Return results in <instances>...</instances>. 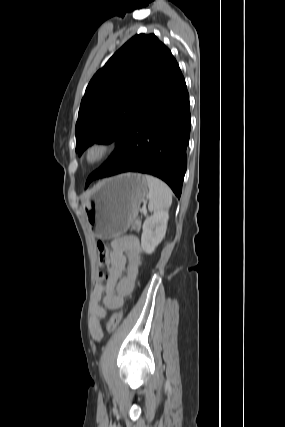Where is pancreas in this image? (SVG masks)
Listing matches in <instances>:
<instances>
[{
    "mask_svg": "<svg viewBox=\"0 0 285 427\" xmlns=\"http://www.w3.org/2000/svg\"><path fill=\"white\" fill-rule=\"evenodd\" d=\"M140 225H141V221L140 220H137L136 222H135V224H134V226L132 227L133 229H139L140 228Z\"/></svg>",
    "mask_w": 285,
    "mask_h": 427,
    "instance_id": "obj_1",
    "label": "pancreas"
}]
</instances>
